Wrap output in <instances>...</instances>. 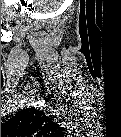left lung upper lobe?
<instances>
[{"mask_svg": "<svg viewBox=\"0 0 121 137\" xmlns=\"http://www.w3.org/2000/svg\"><path fill=\"white\" fill-rule=\"evenodd\" d=\"M58 128L51 116L43 111L28 108L1 124L2 136H32L49 134Z\"/></svg>", "mask_w": 121, "mask_h": 137, "instance_id": "5c2ea615", "label": "left lung upper lobe"}]
</instances>
